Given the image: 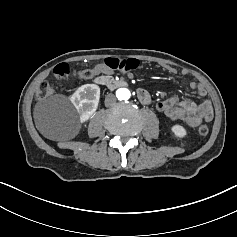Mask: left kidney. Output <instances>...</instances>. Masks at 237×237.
I'll return each instance as SVG.
<instances>
[{"label":"left kidney","instance_id":"left-kidney-1","mask_svg":"<svg viewBox=\"0 0 237 237\" xmlns=\"http://www.w3.org/2000/svg\"><path fill=\"white\" fill-rule=\"evenodd\" d=\"M171 130L175 134V136L180 138L186 136L187 134L185 128L181 125H174Z\"/></svg>","mask_w":237,"mask_h":237}]
</instances>
